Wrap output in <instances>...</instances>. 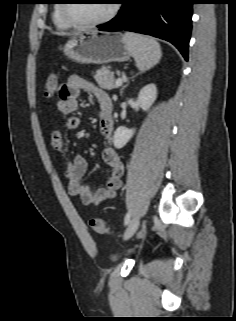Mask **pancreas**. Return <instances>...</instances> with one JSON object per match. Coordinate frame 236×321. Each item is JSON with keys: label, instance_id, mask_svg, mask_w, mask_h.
<instances>
[{"label": "pancreas", "instance_id": "pancreas-1", "mask_svg": "<svg viewBox=\"0 0 236 321\" xmlns=\"http://www.w3.org/2000/svg\"><path fill=\"white\" fill-rule=\"evenodd\" d=\"M95 81L103 89H114L116 88V80L114 73L110 71V67H101L98 69L94 75Z\"/></svg>", "mask_w": 236, "mask_h": 321}]
</instances>
